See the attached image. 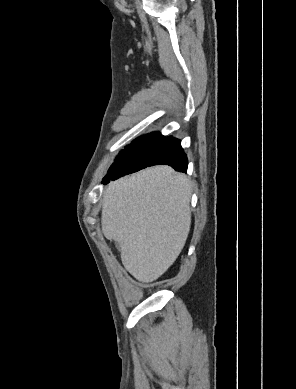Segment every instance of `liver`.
<instances>
[{
  "instance_id": "6515ba94",
  "label": "liver",
  "mask_w": 296,
  "mask_h": 389,
  "mask_svg": "<svg viewBox=\"0 0 296 389\" xmlns=\"http://www.w3.org/2000/svg\"><path fill=\"white\" fill-rule=\"evenodd\" d=\"M191 183L169 166L111 182L102 201V232L121 247L125 269L140 282L164 274L181 253L191 225Z\"/></svg>"
}]
</instances>
